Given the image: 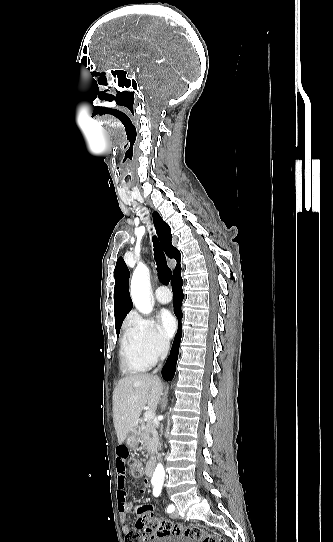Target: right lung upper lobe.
<instances>
[{
  "mask_svg": "<svg viewBox=\"0 0 333 542\" xmlns=\"http://www.w3.org/2000/svg\"><path fill=\"white\" fill-rule=\"evenodd\" d=\"M154 225L157 230V234L163 246L166 255L169 258H177L180 254L179 250L172 246V235L170 227L165 223L162 217L157 213L152 214ZM129 270L122 257H119L115 266V288H114V301H115V327H121V324L132 309V301L130 298L129 290Z\"/></svg>",
  "mask_w": 333,
  "mask_h": 542,
  "instance_id": "cb5924a9",
  "label": "right lung upper lobe"
}]
</instances>
